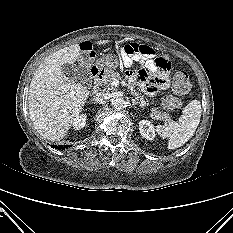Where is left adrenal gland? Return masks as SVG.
Listing matches in <instances>:
<instances>
[{
	"mask_svg": "<svg viewBox=\"0 0 233 233\" xmlns=\"http://www.w3.org/2000/svg\"><path fill=\"white\" fill-rule=\"evenodd\" d=\"M132 100V105L135 106V105H138L139 103L136 102L134 99H131ZM141 106V105H140Z\"/></svg>",
	"mask_w": 233,
	"mask_h": 233,
	"instance_id": "a2214340",
	"label": "left adrenal gland"
}]
</instances>
